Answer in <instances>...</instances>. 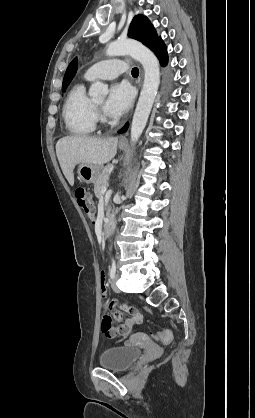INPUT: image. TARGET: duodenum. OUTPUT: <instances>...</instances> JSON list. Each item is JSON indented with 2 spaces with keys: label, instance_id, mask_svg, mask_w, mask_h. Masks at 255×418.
Instances as JSON below:
<instances>
[{
  "label": "duodenum",
  "instance_id": "1",
  "mask_svg": "<svg viewBox=\"0 0 255 418\" xmlns=\"http://www.w3.org/2000/svg\"><path fill=\"white\" fill-rule=\"evenodd\" d=\"M114 229V219L113 217H107L102 225V233L109 232Z\"/></svg>",
  "mask_w": 255,
  "mask_h": 418
}]
</instances>
